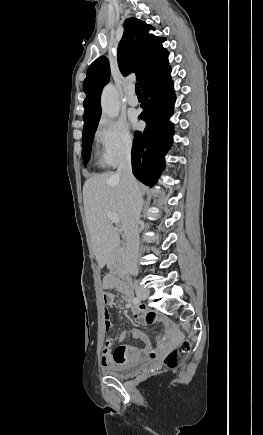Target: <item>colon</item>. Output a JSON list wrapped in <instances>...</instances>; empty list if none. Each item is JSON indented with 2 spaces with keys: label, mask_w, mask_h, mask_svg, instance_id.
I'll return each mask as SVG.
<instances>
[{
  "label": "colon",
  "mask_w": 263,
  "mask_h": 435,
  "mask_svg": "<svg viewBox=\"0 0 263 435\" xmlns=\"http://www.w3.org/2000/svg\"><path fill=\"white\" fill-rule=\"evenodd\" d=\"M108 298V294H103V300H106ZM105 340L103 343L104 350H113L114 348V340L112 339L111 334L105 335ZM190 343L189 341H184L180 347L171 350L167 353V355L164 358V365L168 368H175L178 365H180L187 357L189 351H190Z\"/></svg>",
  "instance_id": "obj_1"
}]
</instances>
